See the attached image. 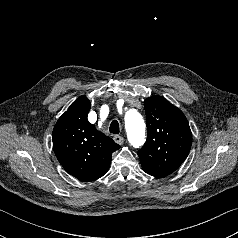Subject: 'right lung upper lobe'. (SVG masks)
I'll return each mask as SVG.
<instances>
[{"instance_id": "obj_1", "label": "right lung upper lobe", "mask_w": 238, "mask_h": 238, "mask_svg": "<svg viewBox=\"0 0 238 238\" xmlns=\"http://www.w3.org/2000/svg\"><path fill=\"white\" fill-rule=\"evenodd\" d=\"M89 110L90 101L80 96L58 119L52 133L58 161L70 175L86 182L106 174L112 153L120 148L89 123Z\"/></svg>"}]
</instances>
